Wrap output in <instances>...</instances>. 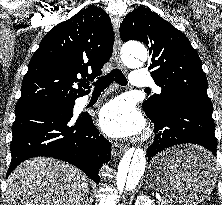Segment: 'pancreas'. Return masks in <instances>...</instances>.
<instances>
[{
    "instance_id": "obj_1",
    "label": "pancreas",
    "mask_w": 222,
    "mask_h": 205,
    "mask_svg": "<svg viewBox=\"0 0 222 205\" xmlns=\"http://www.w3.org/2000/svg\"><path fill=\"white\" fill-rule=\"evenodd\" d=\"M158 205H175V203L167 199H162L158 201Z\"/></svg>"
}]
</instances>
